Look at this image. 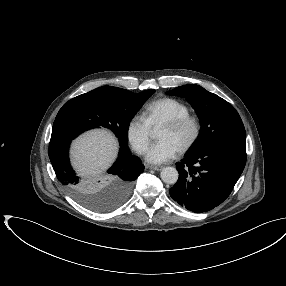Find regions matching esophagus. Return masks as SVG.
<instances>
[{"instance_id": "34e87169", "label": "esophagus", "mask_w": 286, "mask_h": 286, "mask_svg": "<svg viewBox=\"0 0 286 286\" xmlns=\"http://www.w3.org/2000/svg\"><path fill=\"white\" fill-rule=\"evenodd\" d=\"M149 168L155 171H161L163 169V166H149Z\"/></svg>"}]
</instances>
